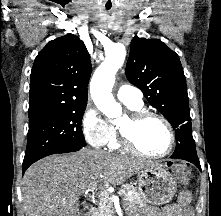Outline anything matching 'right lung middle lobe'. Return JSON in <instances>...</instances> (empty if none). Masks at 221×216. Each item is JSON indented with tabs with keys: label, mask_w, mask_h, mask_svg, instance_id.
<instances>
[{
	"label": "right lung middle lobe",
	"mask_w": 221,
	"mask_h": 216,
	"mask_svg": "<svg viewBox=\"0 0 221 216\" xmlns=\"http://www.w3.org/2000/svg\"><path fill=\"white\" fill-rule=\"evenodd\" d=\"M85 108H70L29 119L23 164L35 162L55 151L86 146L81 128Z\"/></svg>",
	"instance_id": "obj_1"
}]
</instances>
